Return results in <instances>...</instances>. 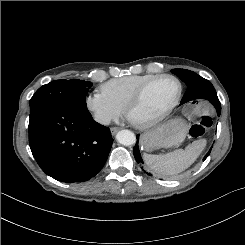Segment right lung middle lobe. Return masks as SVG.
I'll return each instance as SVG.
<instances>
[{
    "label": "right lung middle lobe",
    "mask_w": 245,
    "mask_h": 245,
    "mask_svg": "<svg viewBox=\"0 0 245 245\" xmlns=\"http://www.w3.org/2000/svg\"><path fill=\"white\" fill-rule=\"evenodd\" d=\"M92 84L83 80H55L41 86L30 99V111L54 103L71 109L86 110V95Z\"/></svg>",
    "instance_id": "1"
}]
</instances>
